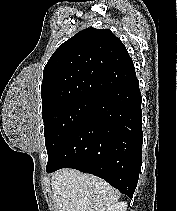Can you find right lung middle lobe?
Returning a JSON list of instances; mask_svg holds the SVG:
<instances>
[{
	"instance_id": "right-lung-middle-lobe-1",
	"label": "right lung middle lobe",
	"mask_w": 178,
	"mask_h": 211,
	"mask_svg": "<svg viewBox=\"0 0 178 211\" xmlns=\"http://www.w3.org/2000/svg\"><path fill=\"white\" fill-rule=\"evenodd\" d=\"M96 101L92 98H76L42 110L48 157L81 122Z\"/></svg>"
}]
</instances>
